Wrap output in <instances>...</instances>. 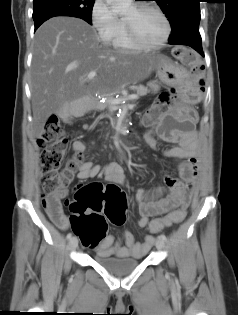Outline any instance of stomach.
Instances as JSON below:
<instances>
[{"instance_id": "obj_1", "label": "stomach", "mask_w": 238, "mask_h": 315, "mask_svg": "<svg viewBox=\"0 0 238 315\" xmlns=\"http://www.w3.org/2000/svg\"><path fill=\"white\" fill-rule=\"evenodd\" d=\"M156 77L159 80H163L164 84L172 85L175 87V91H185L188 97L189 104H195L199 102L200 96L192 91L196 90L193 84H191L192 72H180L179 68L173 63L171 59L161 55V62L155 68ZM178 116H185V122H192V116H198V109H187L185 105H182L177 111Z\"/></svg>"}]
</instances>
